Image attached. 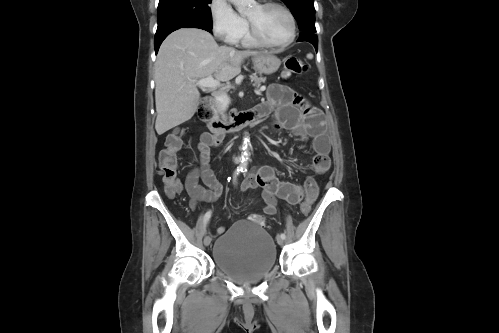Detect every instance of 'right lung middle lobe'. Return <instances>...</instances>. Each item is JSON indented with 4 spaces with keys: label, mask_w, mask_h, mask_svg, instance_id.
Returning a JSON list of instances; mask_svg holds the SVG:
<instances>
[{
    "label": "right lung middle lobe",
    "mask_w": 499,
    "mask_h": 333,
    "mask_svg": "<svg viewBox=\"0 0 499 333\" xmlns=\"http://www.w3.org/2000/svg\"><path fill=\"white\" fill-rule=\"evenodd\" d=\"M211 2L212 0H159L157 31L184 23H203L212 26L209 7Z\"/></svg>",
    "instance_id": "1"
}]
</instances>
